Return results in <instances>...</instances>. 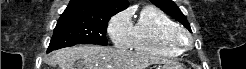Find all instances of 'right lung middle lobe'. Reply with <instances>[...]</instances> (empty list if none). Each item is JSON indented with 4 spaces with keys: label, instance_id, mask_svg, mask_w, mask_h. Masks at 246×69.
Returning a JSON list of instances; mask_svg holds the SVG:
<instances>
[{
    "label": "right lung middle lobe",
    "instance_id": "obj_1",
    "mask_svg": "<svg viewBox=\"0 0 246 69\" xmlns=\"http://www.w3.org/2000/svg\"><path fill=\"white\" fill-rule=\"evenodd\" d=\"M109 19L58 20L47 52L76 44L108 45L106 30Z\"/></svg>",
    "mask_w": 246,
    "mask_h": 69
}]
</instances>
